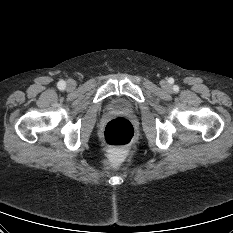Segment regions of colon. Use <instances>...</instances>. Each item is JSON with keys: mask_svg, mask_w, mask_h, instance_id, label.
I'll use <instances>...</instances> for the list:
<instances>
[{"mask_svg": "<svg viewBox=\"0 0 233 233\" xmlns=\"http://www.w3.org/2000/svg\"><path fill=\"white\" fill-rule=\"evenodd\" d=\"M135 139V131L132 123L123 117L110 120L104 128V142L115 148L120 154L129 150Z\"/></svg>", "mask_w": 233, "mask_h": 233, "instance_id": "1", "label": "colon"}]
</instances>
